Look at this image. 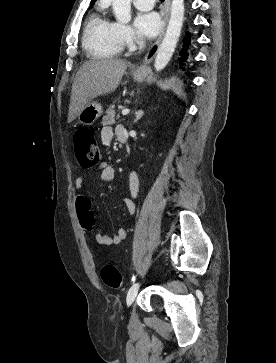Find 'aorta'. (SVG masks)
Returning <instances> with one entry per match:
<instances>
[{
	"instance_id": "obj_1",
	"label": "aorta",
	"mask_w": 276,
	"mask_h": 363,
	"mask_svg": "<svg viewBox=\"0 0 276 363\" xmlns=\"http://www.w3.org/2000/svg\"><path fill=\"white\" fill-rule=\"evenodd\" d=\"M113 14L122 23L131 20V0H112ZM184 0H172L170 19L154 62L157 72L163 70L170 61L178 43L184 20Z\"/></svg>"
}]
</instances>
